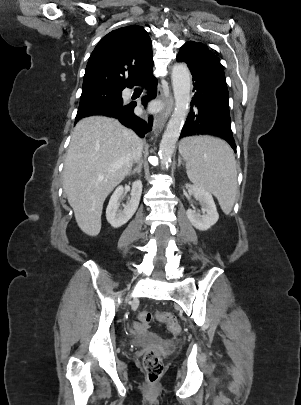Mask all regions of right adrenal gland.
<instances>
[{
    "mask_svg": "<svg viewBox=\"0 0 301 405\" xmlns=\"http://www.w3.org/2000/svg\"><path fill=\"white\" fill-rule=\"evenodd\" d=\"M141 170H142V162H139L138 166H137L136 168H134V169L129 173V176H130V175H133V174H135V173L140 174V173H141Z\"/></svg>",
    "mask_w": 301,
    "mask_h": 405,
    "instance_id": "right-adrenal-gland-1",
    "label": "right adrenal gland"
}]
</instances>
